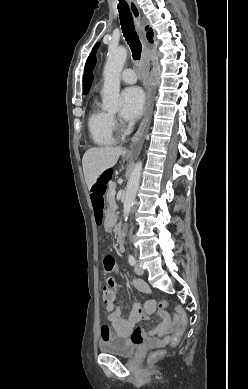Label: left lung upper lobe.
Instances as JSON below:
<instances>
[{"label":"left lung upper lobe","instance_id":"left-lung-upper-lobe-1","mask_svg":"<svg viewBox=\"0 0 248 389\" xmlns=\"http://www.w3.org/2000/svg\"><path fill=\"white\" fill-rule=\"evenodd\" d=\"M100 43H97L92 49L85 65L84 76H83V93L87 94L90 90V86L93 81V69L96 63V49L99 47Z\"/></svg>","mask_w":248,"mask_h":389}]
</instances>
